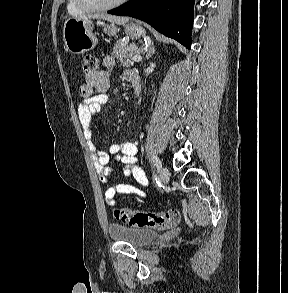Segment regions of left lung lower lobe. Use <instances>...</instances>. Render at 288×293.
<instances>
[{"mask_svg": "<svg viewBox=\"0 0 288 293\" xmlns=\"http://www.w3.org/2000/svg\"><path fill=\"white\" fill-rule=\"evenodd\" d=\"M194 1L130 0L108 13L145 21L160 33L190 49Z\"/></svg>", "mask_w": 288, "mask_h": 293, "instance_id": "0a47b994", "label": "left lung lower lobe"}]
</instances>
